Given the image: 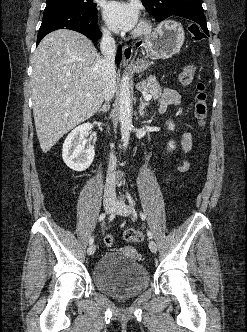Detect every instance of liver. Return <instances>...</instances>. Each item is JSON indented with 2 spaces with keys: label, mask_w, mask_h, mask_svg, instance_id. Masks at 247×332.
Instances as JSON below:
<instances>
[{
  "label": "liver",
  "mask_w": 247,
  "mask_h": 332,
  "mask_svg": "<svg viewBox=\"0 0 247 332\" xmlns=\"http://www.w3.org/2000/svg\"><path fill=\"white\" fill-rule=\"evenodd\" d=\"M101 62L93 43L72 30L51 32L38 45L30 82L36 133L44 153L101 107L105 89Z\"/></svg>",
  "instance_id": "liver-1"
}]
</instances>
